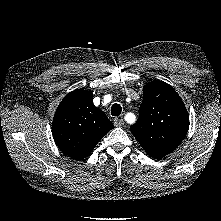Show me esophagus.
Returning a JSON list of instances; mask_svg holds the SVG:
<instances>
[{"label":"esophagus","instance_id":"esophagus-1","mask_svg":"<svg viewBox=\"0 0 221 221\" xmlns=\"http://www.w3.org/2000/svg\"><path fill=\"white\" fill-rule=\"evenodd\" d=\"M114 125L116 127H122L124 125V120L121 118H115L114 119Z\"/></svg>","mask_w":221,"mask_h":221}]
</instances>
